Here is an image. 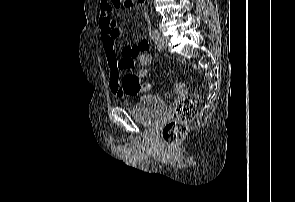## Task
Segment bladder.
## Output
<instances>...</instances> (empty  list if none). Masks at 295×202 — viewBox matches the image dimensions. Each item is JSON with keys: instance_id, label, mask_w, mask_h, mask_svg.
<instances>
[{"instance_id": "obj_1", "label": "bladder", "mask_w": 295, "mask_h": 202, "mask_svg": "<svg viewBox=\"0 0 295 202\" xmlns=\"http://www.w3.org/2000/svg\"><path fill=\"white\" fill-rule=\"evenodd\" d=\"M131 113L140 123L147 126H155L165 118L167 104L157 95H146L133 105Z\"/></svg>"}]
</instances>
